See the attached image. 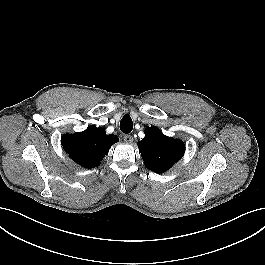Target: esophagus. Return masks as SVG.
<instances>
[{"instance_id": "1", "label": "esophagus", "mask_w": 265, "mask_h": 265, "mask_svg": "<svg viewBox=\"0 0 265 265\" xmlns=\"http://www.w3.org/2000/svg\"><path fill=\"white\" fill-rule=\"evenodd\" d=\"M123 140H124L126 143L130 144V143L133 142V137H132L131 135H125V136L123 137Z\"/></svg>"}]
</instances>
